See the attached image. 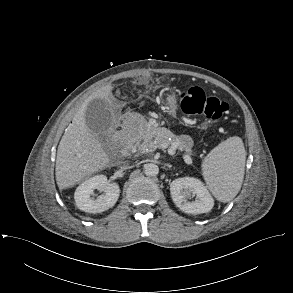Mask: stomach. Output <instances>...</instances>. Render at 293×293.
Listing matches in <instances>:
<instances>
[{
    "instance_id": "obj_1",
    "label": "stomach",
    "mask_w": 293,
    "mask_h": 293,
    "mask_svg": "<svg viewBox=\"0 0 293 293\" xmlns=\"http://www.w3.org/2000/svg\"><path fill=\"white\" fill-rule=\"evenodd\" d=\"M166 104L168 107L169 114L175 116L177 108V99L175 95H168L166 98Z\"/></svg>"
}]
</instances>
